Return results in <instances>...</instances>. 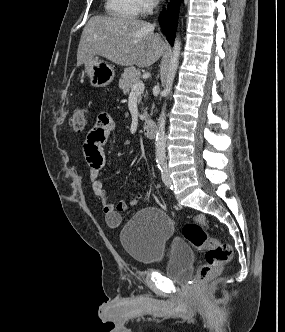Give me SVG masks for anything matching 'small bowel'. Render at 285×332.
Listing matches in <instances>:
<instances>
[{
    "instance_id": "c3829d8e",
    "label": "small bowel",
    "mask_w": 285,
    "mask_h": 332,
    "mask_svg": "<svg viewBox=\"0 0 285 332\" xmlns=\"http://www.w3.org/2000/svg\"><path fill=\"white\" fill-rule=\"evenodd\" d=\"M116 123L107 113H100L94 127L88 132L83 143V151L89 165L91 187L95 198L101 203L106 224L116 228L121 223L120 213L138 204V199L120 200L114 205L100 180V174L105 165L104 146L110 135L115 131Z\"/></svg>"
}]
</instances>
